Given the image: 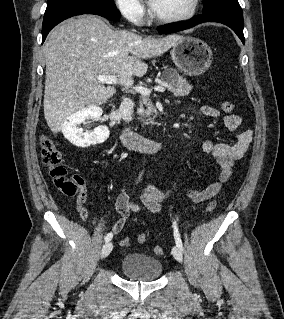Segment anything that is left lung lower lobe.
Returning <instances> with one entry per match:
<instances>
[{
	"label": "left lung lower lobe",
	"mask_w": 284,
	"mask_h": 319,
	"mask_svg": "<svg viewBox=\"0 0 284 319\" xmlns=\"http://www.w3.org/2000/svg\"><path fill=\"white\" fill-rule=\"evenodd\" d=\"M204 22H218L227 25L237 34L243 44H245L243 35V13L242 10L234 8L218 9L207 13L203 12V14L197 15L186 22L160 26L157 30L163 34H170L189 29Z\"/></svg>",
	"instance_id": "left-lung-lower-lobe-1"
}]
</instances>
